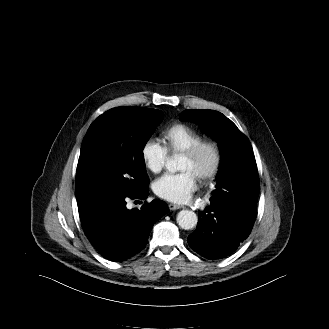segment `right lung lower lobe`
<instances>
[{
  "label": "right lung lower lobe",
  "mask_w": 329,
  "mask_h": 329,
  "mask_svg": "<svg viewBox=\"0 0 329 329\" xmlns=\"http://www.w3.org/2000/svg\"><path fill=\"white\" fill-rule=\"evenodd\" d=\"M148 186L137 194L111 188H96L78 197L80 220L87 238L107 259L123 261L146 245L154 223L168 212L160 200L128 210L126 201L146 199Z\"/></svg>",
  "instance_id": "right-lung-lower-lobe-1"
}]
</instances>
